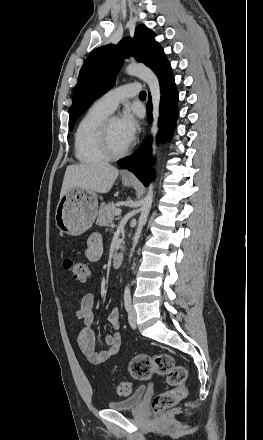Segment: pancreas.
I'll return each instance as SVG.
<instances>
[{
    "mask_svg": "<svg viewBox=\"0 0 263 440\" xmlns=\"http://www.w3.org/2000/svg\"><path fill=\"white\" fill-rule=\"evenodd\" d=\"M116 210H117L116 206L113 202H110L107 205H105L99 212L98 218L96 220V224L99 226H104L111 223L114 219Z\"/></svg>",
    "mask_w": 263,
    "mask_h": 440,
    "instance_id": "cf45deb5",
    "label": "pancreas"
}]
</instances>
